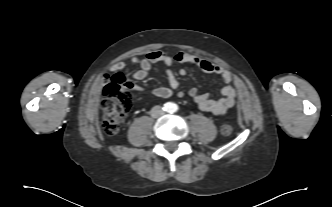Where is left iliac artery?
I'll return each instance as SVG.
<instances>
[{
	"mask_svg": "<svg viewBox=\"0 0 332 207\" xmlns=\"http://www.w3.org/2000/svg\"><path fill=\"white\" fill-rule=\"evenodd\" d=\"M178 110V106L176 104L172 105V112H176Z\"/></svg>",
	"mask_w": 332,
	"mask_h": 207,
	"instance_id": "44dca946",
	"label": "left iliac artery"
}]
</instances>
